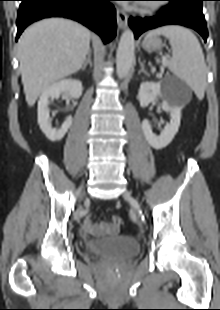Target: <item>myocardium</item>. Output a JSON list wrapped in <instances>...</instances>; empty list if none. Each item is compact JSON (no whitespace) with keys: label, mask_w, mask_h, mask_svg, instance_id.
Instances as JSON below:
<instances>
[{"label":"myocardium","mask_w":220,"mask_h":310,"mask_svg":"<svg viewBox=\"0 0 220 310\" xmlns=\"http://www.w3.org/2000/svg\"><path fill=\"white\" fill-rule=\"evenodd\" d=\"M156 8H157L156 5L148 4V5L143 6L142 10L151 12V11H155Z\"/></svg>","instance_id":"myocardium-1"}]
</instances>
